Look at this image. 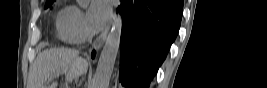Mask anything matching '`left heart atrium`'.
Listing matches in <instances>:
<instances>
[{
    "mask_svg": "<svg viewBox=\"0 0 267 88\" xmlns=\"http://www.w3.org/2000/svg\"><path fill=\"white\" fill-rule=\"evenodd\" d=\"M111 7L106 0L93 1L88 9L87 18L94 27L103 26L110 18Z\"/></svg>",
    "mask_w": 267,
    "mask_h": 88,
    "instance_id": "1",
    "label": "left heart atrium"
}]
</instances>
